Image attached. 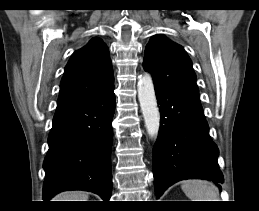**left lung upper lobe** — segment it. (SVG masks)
Segmentation results:
<instances>
[{
  "instance_id": "obj_1",
  "label": "left lung upper lobe",
  "mask_w": 259,
  "mask_h": 211,
  "mask_svg": "<svg viewBox=\"0 0 259 211\" xmlns=\"http://www.w3.org/2000/svg\"><path fill=\"white\" fill-rule=\"evenodd\" d=\"M143 67L154 78V86L199 97L192 63L182 46L163 35H156L147 44Z\"/></svg>"
}]
</instances>
